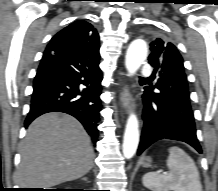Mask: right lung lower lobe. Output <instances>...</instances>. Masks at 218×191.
<instances>
[{"instance_id":"right-lung-lower-lobe-1","label":"right lung lower lobe","mask_w":218,"mask_h":191,"mask_svg":"<svg viewBox=\"0 0 218 191\" xmlns=\"http://www.w3.org/2000/svg\"><path fill=\"white\" fill-rule=\"evenodd\" d=\"M99 56V48L78 50L49 43L34 79L25 127L44 113L63 112L77 118L96 143L102 107Z\"/></svg>"}]
</instances>
